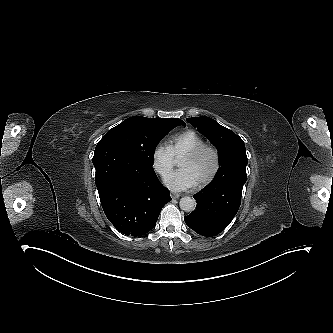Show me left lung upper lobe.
Returning <instances> with one entry per match:
<instances>
[{
  "mask_svg": "<svg viewBox=\"0 0 333 333\" xmlns=\"http://www.w3.org/2000/svg\"><path fill=\"white\" fill-rule=\"evenodd\" d=\"M198 131L207 137L217 148L221 167L213 180L231 184L246 179L248 163L243 140L233 131L218 124L208 117H192L187 119Z\"/></svg>",
  "mask_w": 333,
  "mask_h": 333,
  "instance_id": "1",
  "label": "left lung upper lobe"
}]
</instances>
